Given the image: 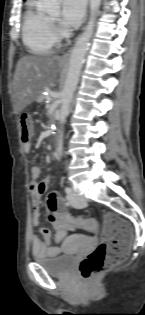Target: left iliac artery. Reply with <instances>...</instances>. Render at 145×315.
I'll return each instance as SVG.
<instances>
[{"label":"left iliac artery","mask_w":145,"mask_h":315,"mask_svg":"<svg viewBox=\"0 0 145 315\" xmlns=\"http://www.w3.org/2000/svg\"><path fill=\"white\" fill-rule=\"evenodd\" d=\"M65 192L69 194L72 192V189L70 187H65Z\"/></svg>","instance_id":"44dca946"}]
</instances>
